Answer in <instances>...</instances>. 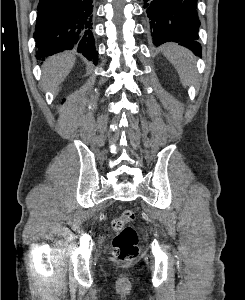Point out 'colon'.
Here are the masks:
<instances>
[{"label": "colon", "mask_w": 245, "mask_h": 300, "mask_svg": "<svg viewBox=\"0 0 245 300\" xmlns=\"http://www.w3.org/2000/svg\"><path fill=\"white\" fill-rule=\"evenodd\" d=\"M132 210H124L112 221L115 232L113 239V256L120 262H127L138 256V235L129 224L134 220Z\"/></svg>", "instance_id": "1"}]
</instances>
